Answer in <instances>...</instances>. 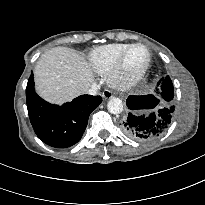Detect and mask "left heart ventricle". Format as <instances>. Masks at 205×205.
I'll return each instance as SVG.
<instances>
[{
    "label": "left heart ventricle",
    "mask_w": 205,
    "mask_h": 205,
    "mask_svg": "<svg viewBox=\"0 0 205 205\" xmlns=\"http://www.w3.org/2000/svg\"><path fill=\"white\" fill-rule=\"evenodd\" d=\"M147 52L142 47L134 48L126 60V69L128 72H135L140 69L146 62Z\"/></svg>",
    "instance_id": "obj_1"
}]
</instances>
